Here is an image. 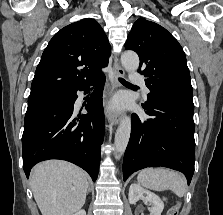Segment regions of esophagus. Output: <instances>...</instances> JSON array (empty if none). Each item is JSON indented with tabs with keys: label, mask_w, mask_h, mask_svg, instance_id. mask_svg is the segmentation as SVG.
<instances>
[{
	"label": "esophagus",
	"mask_w": 223,
	"mask_h": 215,
	"mask_svg": "<svg viewBox=\"0 0 223 215\" xmlns=\"http://www.w3.org/2000/svg\"><path fill=\"white\" fill-rule=\"evenodd\" d=\"M124 74L125 72L123 68L120 67L118 63L115 61L113 65V75L117 86L119 85L117 78L123 77ZM106 117L108 119V122L112 125H117L121 120V115L112 108L111 100L108 102Z\"/></svg>",
	"instance_id": "esophagus-1"
}]
</instances>
